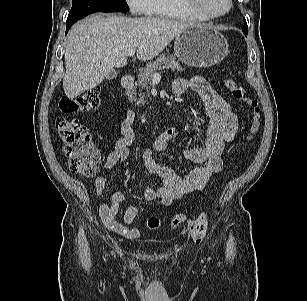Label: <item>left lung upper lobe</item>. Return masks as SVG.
<instances>
[{"label": "left lung upper lobe", "instance_id": "obj_1", "mask_svg": "<svg viewBox=\"0 0 307 301\" xmlns=\"http://www.w3.org/2000/svg\"><path fill=\"white\" fill-rule=\"evenodd\" d=\"M244 23L246 24L245 19H244ZM247 29H248L247 25L244 26L243 29H242V30H243V33H244L245 35H247Z\"/></svg>", "mask_w": 307, "mask_h": 301}]
</instances>
